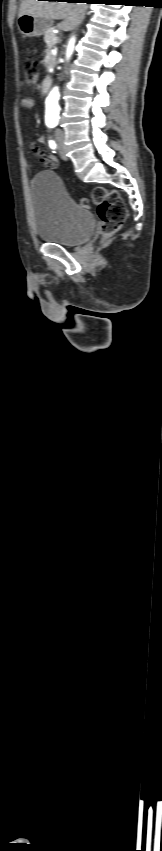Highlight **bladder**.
<instances>
[{
    "label": "bladder",
    "instance_id": "obj_1",
    "mask_svg": "<svg viewBox=\"0 0 162 851\" xmlns=\"http://www.w3.org/2000/svg\"><path fill=\"white\" fill-rule=\"evenodd\" d=\"M37 235L48 243L76 246L90 238L96 220L67 193L54 172L38 173L30 185Z\"/></svg>",
    "mask_w": 162,
    "mask_h": 851
}]
</instances>
